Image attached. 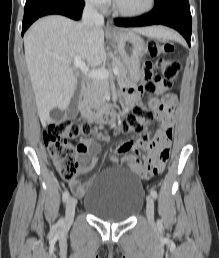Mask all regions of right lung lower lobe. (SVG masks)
<instances>
[{
  "label": "right lung lower lobe",
  "instance_id": "right-lung-lower-lobe-1",
  "mask_svg": "<svg viewBox=\"0 0 219 258\" xmlns=\"http://www.w3.org/2000/svg\"><path fill=\"white\" fill-rule=\"evenodd\" d=\"M83 7V0H38L24 8L22 35L35 20L45 15L61 14L78 20Z\"/></svg>",
  "mask_w": 219,
  "mask_h": 258
}]
</instances>
